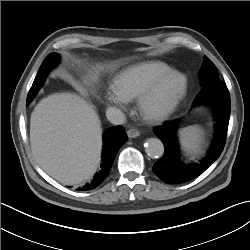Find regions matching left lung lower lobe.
I'll return each mask as SVG.
<instances>
[{
  "label": "left lung lower lobe",
  "instance_id": "1",
  "mask_svg": "<svg viewBox=\"0 0 250 250\" xmlns=\"http://www.w3.org/2000/svg\"><path fill=\"white\" fill-rule=\"evenodd\" d=\"M194 104L205 103L212 107L216 121L214 139L207 156L199 163L186 164L177 139L179 119L167 121L154 129L164 144L163 157L154 166V173L168 184L190 181L203 173L222 153L226 141L230 118V95L224 82L204 86L194 99Z\"/></svg>",
  "mask_w": 250,
  "mask_h": 250
}]
</instances>
